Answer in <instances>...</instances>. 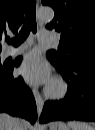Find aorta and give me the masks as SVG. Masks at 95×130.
I'll return each instance as SVG.
<instances>
[{"instance_id":"1","label":"aorta","mask_w":95,"mask_h":130,"mask_svg":"<svg viewBox=\"0 0 95 130\" xmlns=\"http://www.w3.org/2000/svg\"><path fill=\"white\" fill-rule=\"evenodd\" d=\"M36 17L39 21L50 22L54 18V11L50 7H41L37 10Z\"/></svg>"}]
</instances>
